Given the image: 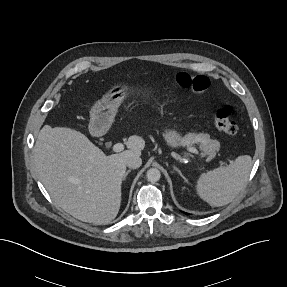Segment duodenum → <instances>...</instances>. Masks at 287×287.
Masks as SVG:
<instances>
[{"instance_id":"1","label":"duodenum","mask_w":287,"mask_h":287,"mask_svg":"<svg viewBox=\"0 0 287 287\" xmlns=\"http://www.w3.org/2000/svg\"><path fill=\"white\" fill-rule=\"evenodd\" d=\"M93 130H94L95 132L103 133V132H105V127L102 126V125H97V124H95V125L93 126Z\"/></svg>"}]
</instances>
